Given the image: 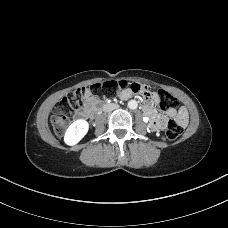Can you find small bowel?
I'll use <instances>...</instances> for the list:
<instances>
[{"mask_svg": "<svg viewBox=\"0 0 228 228\" xmlns=\"http://www.w3.org/2000/svg\"><path fill=\"white\" fill-rule=\"evenodd\" d=\"M132 96V91L130 89H125L120 92V97L122 99H128ZM99 103V98L97 95L93 93H89L86 95L84 99V106L82 109L77 111L76 115L78 117H84L92 115ZM158 103V97L153 94L149 97L145 98L144 101V112L150 116V118L156 119L157 123L154 125V129L152 130H162L166 127L167 120L164 116L157 114L154 110V105ZM169 115L174 117L176 121L182 126H186L188 123V112L184 107L179 108L178 110H171Z\"/></svg>", "mask_w": 228, "mask_h": 228, "instance_id": "1", "label": "small bowel"}]
</instances>
